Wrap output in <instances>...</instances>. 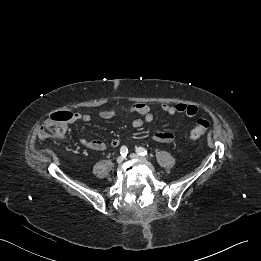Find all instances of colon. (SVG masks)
Returning <instances> with one entry per match:
<instances>
[{
	"instance_id": "colon-1",
	"label": "colon",
	"mask_w": 261,
	"mask_h": 261,
	"mask_svg": "<svg viewBox=\"0 0 261 261\" xmlns=\"http://www.w3.org/2000/svg\"><path fill=\"white\" fill-rule=\"evenodd\" d=\"M73 119V114L67 111H58L50 114L45 120L39 136L41 139H50L53 137H58L62 133L63 128L71 122ZM210 120L201 117L197 120L196 126L190 132L188 136L189 141H195L199 139L210 127Z\"/></svg>"
}]
</instances>
